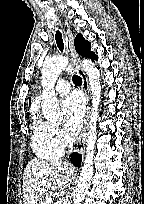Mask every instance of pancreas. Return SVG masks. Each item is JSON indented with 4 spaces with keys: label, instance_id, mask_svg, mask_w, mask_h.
<instances>
[{
    "label": "pancreas",
    "instance_id": "cf45deb5",
    "mask_svg": "<svg viewBox=\"0 0 144 204\" xmlns=\"http://www.w3.org/2000/svg\"><path fill=\"white\" fill-rule=\"evenodd\" d=\"M50 197V194L49 193H46L45 195H43L39 201L38 204H44L46 199Z\"/></svg>",
    "mask_w": 144,
    "mask_h": 204
}]
</instances>
